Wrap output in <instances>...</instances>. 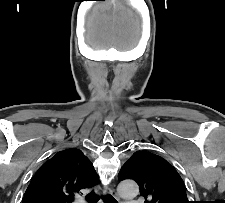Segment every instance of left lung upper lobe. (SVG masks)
Returning a JSON list of instances; mask_svg holds the SVG:
<instances>
[{
	"mask_svg": "<svg viewBox=\"0 0 225 203\" xmlns=\"http://www.w3.org/2000/svg\"><path fill=\"white\" fill-rule=\"evenodd\" d=\"M118 178L136 181L145 203H190L178 172L151 152L136 151L122 166Z\"/></svg>",
	"mask_w": 225,
	"mask_h": 203,
	"instance_id": "left-lung-upper-lobe-1",
	"label": "left lung upper lobe"
}]
</instances>
